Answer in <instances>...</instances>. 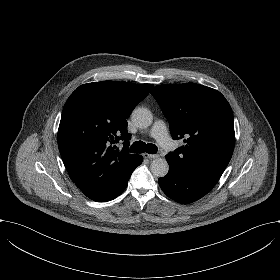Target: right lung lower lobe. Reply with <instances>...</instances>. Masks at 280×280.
<instances>
[{"instance_id":"obj_1","label":"right lung lower lobe","mask_w":280,"mask_h":280,"mask_svg":"<svg viewBox=\"0 0 280 280\" xmlns=\"http://www.w3.org/2000/svg\"><path fill=\"white\" fill-rule=\"evenodd\" d=\"M141 162H142V157L139 160L138 165H140ZM132 172L130 174H128L126 177H124V179L117 186H115V188L111 191V193L106 196V201H110V200L116 198L125 190Z\"/></svg>"}]
</instances>
